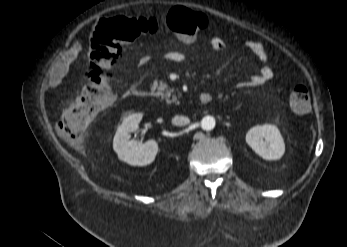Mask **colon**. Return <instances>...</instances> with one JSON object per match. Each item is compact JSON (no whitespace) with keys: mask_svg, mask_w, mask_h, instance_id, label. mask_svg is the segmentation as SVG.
Returning <instances> with one entry per match:
<instances>
[{"mask_svg":"<svg viewBox=\"0 0 347 247\" xmlns=\"http://www.w3.org/2000/svg\"><path fill=\"white\" fill-rule=\"evenodd\" d=\"M167 25L184 41H193L209 27L207 16L184 7L171 9L165 20L159 16L130 17L116 15L102 19L95 27L89 50L88 80L80 97L63 107L58 131L64 138L80 135L93 117L114 100L110 83V70L120 58L124 45L141 34H156ZM291 108L306 113L310 108V95L303 85L293 88L289 96Z\"/></svg>","mask_w":347,"mask_h":247,"instance_id":"1","label":"colon"}]
</instances>
